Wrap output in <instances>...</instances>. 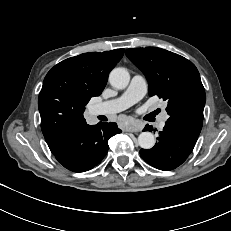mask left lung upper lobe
<instances>
[{
  "instance_id": "obj_1",
  "label": "left lung upper lobe",
  "mask_w": 231,
  "mask_h": 231,
  "mask_svg": "<svg viewBox=\"0 0 231 231\" xmlns=\"http://www.w3.org/2000/svg\"><path fill=\"white\" fill-rule=\"evenodd\" d=\"M125 54L146 76L149 96L157 95L168 102L167 122L199 136L206 96L195 65L156 47L127 49Z\"/></svg>"
}]
</instances>
